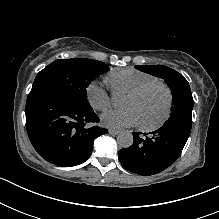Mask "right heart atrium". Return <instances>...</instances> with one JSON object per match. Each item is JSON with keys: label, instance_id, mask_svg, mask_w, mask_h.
<instances>
[{"label": "right heart atrium", "instance_id": "right-heart-atrium-1", "mask_svg": "<svg viewBox=\"0 0 219 219\" xmlns=\"http://www.w3.org/2000/svg\"><path fill=\"white\" fill-rule=\"evenodd\" d=\"M85 95L95 110L105 111L112 105L111 89L107 82H90L85 88Z\"/></svg>", "mask_w": 219, "mask_h": 219}]
</instances>
